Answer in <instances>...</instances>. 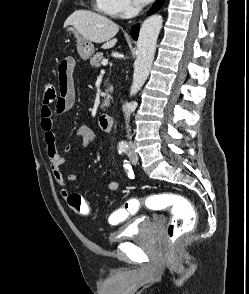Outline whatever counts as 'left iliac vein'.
<instances>
[{
	"mask_svg": "<svg viewBox=\"0 0 249 294\" xmlns=\"http://www.w3.org/2000/svg\"><path fill=\"white\" fill-rule=\"evenodd\" d=\"M129 158H130V161L133 164H137V162H138V156L136 155V153L133 150L130 151Z\"/></svg>",
	"mask_w": 249,
	"mask_h": 294,
	"instance_id": "4c4485c4",
	"label": "left iliac vein"
}]
</instances>
